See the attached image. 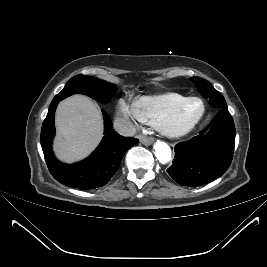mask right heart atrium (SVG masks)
Segmentation results:
<instances>
[{
    "label": "right heart atrium",
    "mask_w": 267,
    "mask_h": 267,
    "mask_svg": "<svg viewBox=\"0 0 267 267\" xmlns=\"http://www.w3.org/2000/svg\"><path fill=\"white\" fill-rule=\"evenodd\" d=\"M117 114L120 118L130 124L142 123L134 103H128L125 99H120L117 103Z\"/></svg>",
    "instance_id": "d8ad5b80"
}]
</instances>
